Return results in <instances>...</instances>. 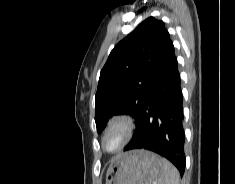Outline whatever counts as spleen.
I'll use <instances>...</instances> for the list:
<instances>
[{
    "label": "spleen",
    "mask_w": 235,
    "mask_h": 184,
    "mask_svg": "<svg viewBox=\"0 0 235 184\" xmlns=\"http://www.w3.org/2000/svg\"><path fill=\"white\" fill-rule=\"evenodd\" d=\"M162 170L158 184H179V172L171 162L161 158Z\"/></svg>",
    "instance_id": "3e777b00"
}]
</instances>
